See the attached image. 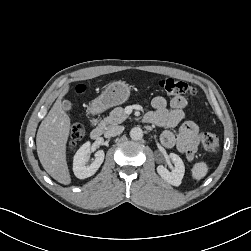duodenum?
I'll use <instances>...</instances> for the list:
<instances>
[{"label": "duodenum", "mask_w": 251, "mask_h": 251, "mask_svg": "<svg viewBox=\"0 0 251 251\" xmlns=\"http://www.w3.org/2000/svg\"><path fill=\"white\" fill-rule=\"evenodd\" d=\"M144 121L148 123V120L146 118V116L144 117ZM91 124H92V128H91V131H90V137L92 139H98L101 137L102 133H103V128L101 125H99L96 120H92L91 121Z\"/></svg>", "instance_id": "1"}]
</instances>
